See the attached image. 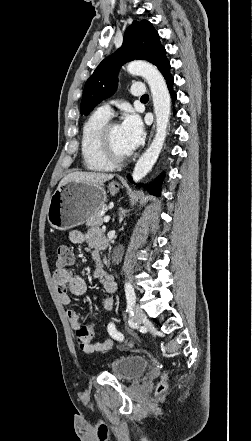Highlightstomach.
I'll return each mask as SVG.
<instances>
[{
  "label": "stomach",
  "mask_w": 252,
  "mask_h": 441,
  "mask_svg": "<svg viewBox=\"0 0 252 441\" xmlns=\"http://www.w3.org/2000/svg\"><path fill=\"white\" fill-rule=\"evenodd\" d=\"M112 195L119 191V185L112 182L108 186ZM107 201L103 185L70 181L58 186L51 196L47 220L56 230H67L85 223Z\"/></svg>",
  "instance_id": "1"
}]
</instances>
